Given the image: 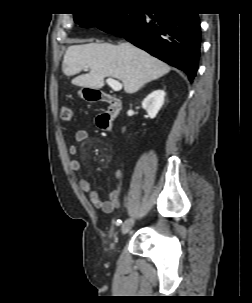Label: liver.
Wrapping results in <instances>:
<instances>
[{"label":"liver","instance_id":"1","mask_svg":"<svg viewBox=\"0 0 252 303\" xmlns=\"http://www.w3.org/2000/svg\"><path fill=\"white\" fill-rule=\"evenodd\" d=\"M85 67L90 69L89 73L74 78L71 81L73 85L100 89L106 77H113L122 81L124 91L129 94L171 69L166 63L127 42L69 46L63 59L64 74L75 75Z\"/></svg>","mask_w":252,"mask_h":303}]
</instances>
